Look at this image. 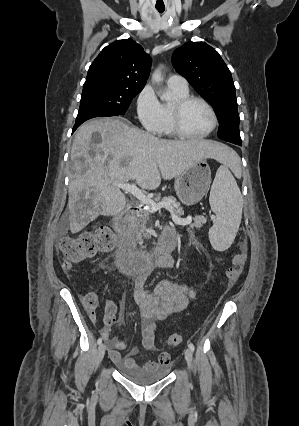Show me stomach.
Listing matches in <instances>:
<instances>
[{"label": "stomach", "instance_id": "obj_1", "mask_svg": "<svg viewBox=\"0 0 299 426\" xmlns=\"http://www.w3.org/2000/svg\"><path fill=\"white\" fill-rule=\"evenodd\" d=\"M211 170L206 160L191 165L175 178L174 188L179 200L185 205L198 203L209 187Z\"/></svg>", "mask_w": 299, "mask_h": 426}]
</instances>
